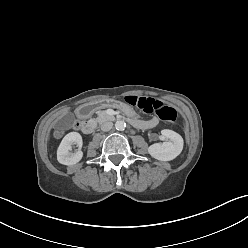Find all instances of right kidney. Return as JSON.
<instances>
[{
  "instance_id": "right-kidney-1",
  "label": "right kidney",
  "mask_w": 248,
  "mask_h": 248,
  "mask_svg": "<svg viewBox=\"0 0 248 248\" xmlns=\"http://www.w3.org/2000/svg\"><path fill=\"white\" fill-rule=\"evenodd\" d=\"M77 144L79 150L71 153L72 145ZM82 147V137L78 132H70L62 139L57 149V160L64 165H74L78 163L82 157L83 152L80 150Z\"/></svg>"
}]
</instances>
